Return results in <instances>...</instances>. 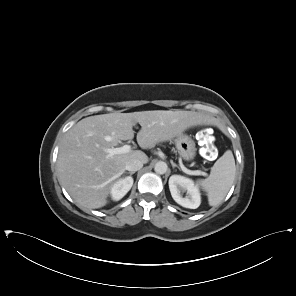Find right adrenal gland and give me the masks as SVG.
I'll use <instances>...</instances> for the list:
<instances>
[{"label":"right adrenal gland","instance_id":"obj_1","mask_svg":"<svg viewBox=\"0 0 296 296\" xmlns=\"http://www.w3.org/2000/svg\"><path fill=\"white\" fill-rule=\"evenodd\" d=\"M135 172H128V174H130V176H132Z\"/></svg>","mask_w":296,"mask_h":296}]
</instances>
